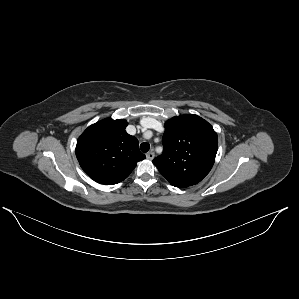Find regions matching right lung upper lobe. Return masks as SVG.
<instances>
[{
    "label": "right lung upper lobe",
    "instance_id": "1",
    "mask_svg": "<svg viewBox=\"0 0 299 299\" xmlns=\"http://www.w3.org/2000/svg\"><path fill=\"white\" fill-rule=\"evenodd\" d=\"M127 121L106 118L89 126L79 137L76 156L80 166L94 181L113 185L121 182L145 159L138 140L129 135Z\"/></svg>",
    "mask_w": 299,
    "mask_h": 299
}]
</instances>
